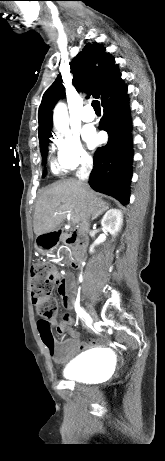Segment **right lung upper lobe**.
<instances>
[{"label":"right lung upper lobe","mask_w":165,"mask_h":461,"mask_svg":"<svg viewBox=\"0 0 165 461\" xmlns=\"http://www.w3.org/2000/svg\"><path fill=\"white\" fill-rule=\"evenodd\" d=\"M106 48L98 43H87L84 49L72 59L70 69L73 73V85L77 90L100 98L105 106L127 91L121 78L115 59ZM64 94L61 75L46 90L39 107V138L51 131L52 109Z\"/></svg>","instance_id":"obj_1"}]
</instances>
